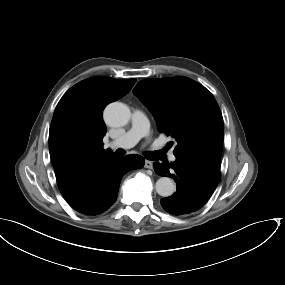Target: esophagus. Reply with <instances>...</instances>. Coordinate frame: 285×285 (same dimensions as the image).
Returning <instances> with one entry per match:
<instances>
[{
	"instance_id": "obj_1",
	"label": "esophagus",
	"mask_w": 285,
	"mask_h": 285,
	"mask_svg": "<svg viewBox=\"0 0 285 285\" xmlns=\"http://www.w3.org/2000/svg\"><path fill=\"white\" fill-rule=\"evenodd\" d=\"M144 167L147 168V169H152V168H153V163H152V161L145 160V165H144Z\"/></svg>"
}]
</instances>
